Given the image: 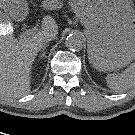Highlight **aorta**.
Instances as JSON below:
<instances>
[{
	"instance_id": "762f6f07",
	"label": "aorta",
	"mask_w": 135,
	"mask_h": 135,
	"mask_svg": "<svg viewBox=\"0 0 135 135\" xmlns=\"http://www.w3.org/2000/svg\"><path fill=\"white\" fill-rule=\"evenodd\" d=\"M84 37L80 33L69 34L66 38V46L73 51H80L84 46Z\"/></svg>"
}]
</instances>
